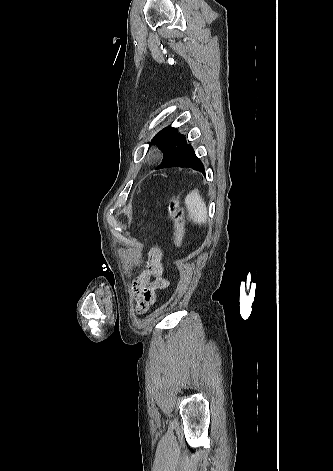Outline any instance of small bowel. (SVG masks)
I'll use <instances>...</instances> for the list:
<instances>
[{"label": "small bowel", "instance_id": "obj_1", "mask_svg": "<svg viewBox=\"0 0 333 471\" xmlns=\"http://www.w3.org/2000/svg\"><path fill=\"white\" fill-rule=\"evenodd\" d=\"M148 262L134 279L130 294L135 311L142 315L156 302L157 291L170 286L161 263L162 253L158 247L151 248Z\"/></svg>", "mask_w": 333, "mask_h": 471}]
</instances>
